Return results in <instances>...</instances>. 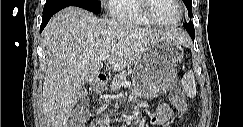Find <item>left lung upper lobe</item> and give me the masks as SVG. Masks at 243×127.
<instances>
[{"instance_id":"left-lung-upper-lobe-1","label":"left lung upper lobe","mask_w":243,"mask_h":127,"mask_svg":"<svg viewBox=\"0 0 243 127\" xmlns=\"http://www.w3.org/2000/svg\"><path fill=\"white\" fill-rule=\"evenodd\" d=\"M185 2V5L188 9V15L190 18H192V0H183ZM185 28H194L193 23L190 21L189 23H185Z\"/></svg>"}]
</instances>
